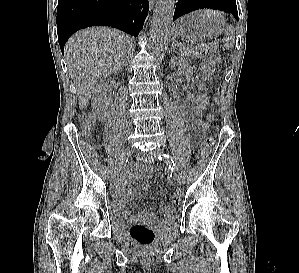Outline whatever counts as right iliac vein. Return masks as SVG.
Segmentation results:
<instances>
[{"label": "right iliac vein", "mask_w": 299, "mask_h": 273, "mask_svg": "<svg viewBox=\"0 0 299 273\" xmlns=\"http://www.w3.org/2000/svg\"><path fill=\"white\" fill-rule=\"evenodd\" d=\"M132 153H133V149L131 146H128L123 150L120 160H119V164L111 177V186L112 187H115L117 185L118 180H119V174L121 171V166L124 164L125 160H127L132 155Z\"/></svg>", "instance_id": "right-iliac-vein-1"}]
</instances>
